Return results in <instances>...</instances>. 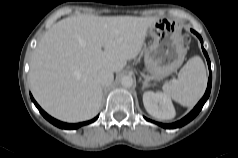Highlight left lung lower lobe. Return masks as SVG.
Returning a JSON list of instances; mask_svg holds the SVG:
<instances>
[{
	"label": "left lung lower lobe",
	"instance_id": "left-lung-lower-lobe-1",
	"mask_svg": "<svg viewBox=\"0 0 238 158\" xmlns=\"http://www.w3.org/2000/svg\"><path fill=\"white\" fill-rule=\"evenodd\" d=\"M194 34L197 35V37L200 39L201 43H203V40L201 38V36L195 32L194 30H191ZM202 50L203 53L207 59L208 62V66L210 69V75H209V80H208V86H207V90L203 96V98L199 101V103L195 106V108L187 115L185 116L183 119H181L180 121H177L175 123L172 124H162V123H157L159 126L163 127V128H177V127H181L185 124H187L188 122H190L192 119H194L197 114L200 112V110L202 109L203 105L205 104L206 100L208 99L209 95H210V91H211V85H212V74H211V67H210V60L209 57L207 55V52L205 51V49L203 48V44H202ZM148 120V119H146Z\"/></svg>",
	"mask_w": 238,
	"mask_h": 158
}]
</instances>
